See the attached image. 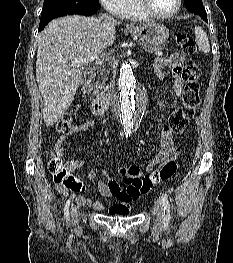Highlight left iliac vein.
Listing matches in <instances>:
<instances>
[{"mask_svg": "<svg viewBox=\"0 0 233 263\" xmlns=\"http://www.w3.org/2000/svg\"><path fill=\"white\" fill-rule=\"evenodd\" d=\"M154 210L156 214L155 227L156 229H161V227L163 226V219H164V207L159 199L155 201Z\"/></svg>", "mask_w": 233, "mask_h": 263, "instance_id": "1", "label": "left iliac vein"}]
</instances>
